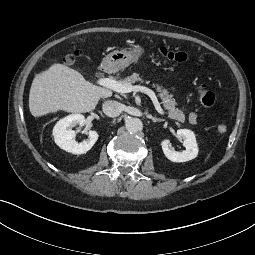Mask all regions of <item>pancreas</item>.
Instances as JSON below:
<instances>
[{
	"label": "pancreas",
	"instance_id": "cf45deb5",
	"mask_svg": "<svg viewBox=\"0 0 255 255\" xmlns=\"http://www.w3.org/2000/svg\"><path fill=\"white\" fill-rule=\"evenodd\" d=\"M123 84H134L136 82H143L142 78L137 73H133L131 76H128L127 78L120 81ZM148 84L149 81H146ZM154 87H156V90L159 92V96L162 100V104L164 109L168 111V116L171 119L178 120L179 122L185 121V115L182 112V110L176 108V101L173 98L172 94H169V91L167 89H164L163 86L159 84H154Z\"/></svg>",
	"mask_w": 255,
	"mask_h": 255
}]
</instances>
